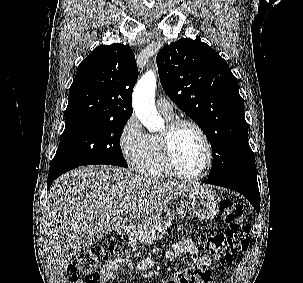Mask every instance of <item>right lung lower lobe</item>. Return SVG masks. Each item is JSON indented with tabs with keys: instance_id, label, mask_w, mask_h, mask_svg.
I'll return each mask as SVG.
<instances>
[{
	"instance_id": "1",
	"label": "right lung lower lobe",
	"mask_w": 303,
	"mask_h": 283,
	"mask_svg": "<svg viewBox=\"0 0 303 283\" xmlns=\"http://www.w3.org/2000/svg\"><path fill=\"white\" fill-rule=\"evenodd\" d=\"M71 169H73V168H63V169L50 170L49 171V176H48V189L57 177H59L60 175H62L63 173H65V172H67Z\"/></svg>"
}]
</instances>
